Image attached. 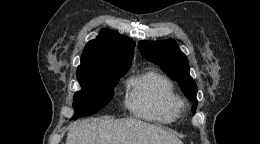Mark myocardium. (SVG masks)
I'll list each match as a JSON object with an SVG mask.
<instances>
[{"label": "myocardium", "instance_id": "obj_1", "mask_svg": "<svg viewBox=\"0 0 260 144\" xmlns=\"http://www.w3.org/2000/svg\"><path fill=\"white\" fill-rule=\"evenodd\" d=\"M182 108V103H181V105H180V109Z\"/></svg>", "mask_w": 260, "mask_h": 144}]
</instances>
